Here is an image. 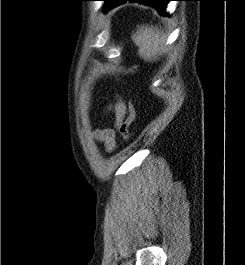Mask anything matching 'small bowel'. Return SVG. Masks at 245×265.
<instances>
[{
  "instance_id": "obj_1",
  "label": "small bowel",
  "mask_w": 245,
  "mask_h": 265,
  "mask_svg": "<svg viewBox=\"0 0 245 265\" xmlns=\"http://www.w3.org/2000/svg\"><path fill=\"white\" fill-rule=\"evenodd\" d=\"M108 111H112L114 113L115 127L97 129L94 132V137L98 142L104 145L107 151H111L115 147L117 129L120 123L124 120L127 112V106L121 99H117L114 104H111L108 107Z\"/></svg>"
}]
</instances>
